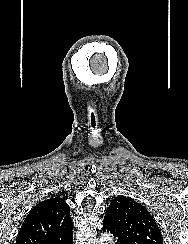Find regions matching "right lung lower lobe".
<instances>
[{
    "instance_id": "obj_1",
    "label": "right lung lower lobe",
    "mask_w": 188,
    "mask_h": 244,
    "mask_svg": "<svg viewBox=\"0 0 188 244\" xmlns=\"http://www.w3.org/2000/svg\"><path fill=\"white\" fill-rule=\"evenodd\" d=\"M57 244H73V233L69 235L65 240Z\"/></svg>"
}]
</instances>
